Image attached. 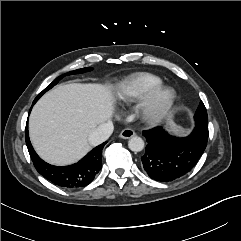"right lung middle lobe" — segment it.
I'll use <instances>...</instances> for the list:
<instances>
[{
	"mask_svg": "<svg viewBox=\"0 0 241 241\" xmlns=\"http://www.w3.org/2000/svg\"><path fill=\"white\" fill-rule=\"evenodd\" d=\"M93 70V68L91 67H87V68H82V69H78V70H74L71 72H68L66 74H63L61 76H59L58 78H56L49 86H47L37 97L34 101H37L46 91H48L49 89H51L54 85H56L58 83V81L60 79H62L64 76L66 75H71V74H80V73H84V72H88Z\"/></svg>",
	"mask_w": 241,
	"mask_h": 241,
	"instance_id": "dd1d6c3e",
	"label": "right lung middle lobe"
}]
</instances>
